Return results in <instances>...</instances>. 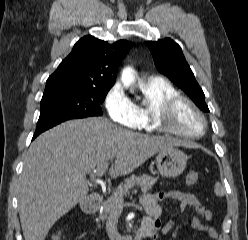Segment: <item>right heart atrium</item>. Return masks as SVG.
<instances>
[{"instance_id": "right-heart-atrium-1", "label": "right heart atrium", "mask_w": 248, "mask_h": 240, "mask_svg": "<svg viewBox=\"0 0 248 240\" xmlns=\"http://www.w3.org/2000/svg\"><path fill=\"white\" fill-rule=\"evenodd\" d=\"M104 106L110 119L129 129H136L139 125L134 103L125 94L120 82L114 83L107 91Z\"/></svg>"}]
</instances>
